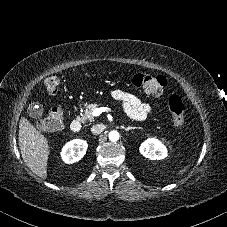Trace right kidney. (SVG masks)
<instances>
[{
	"label": "right kidney",
	"instance_id": "obj_1",
	"mask_svg": "<svg viewBox=\"0 0 227 227\" xmlns=\"http://www.w3.org/2000/svg\"><path fill=\"white\" fill-rule=\"evenodd\" d=\"M87 147V142L80 139H75L66 143L61 150L62 160L67 164H72L81 160L86 153Z\"/></svg>",
	"mask_w": 227,
	"mask_h": 227
}]
</instances>
